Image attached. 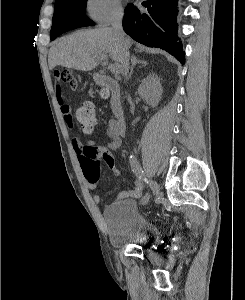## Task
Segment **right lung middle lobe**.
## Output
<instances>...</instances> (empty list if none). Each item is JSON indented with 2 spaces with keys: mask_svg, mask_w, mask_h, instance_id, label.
I'll return each instance as SVG.
<instances>
[{
  "mask_svg": "<svg viewBox=\"0 0 245 300\" xmlns=\"http://www.w3.org/2000/svg\"><path fill=\"white\" fill-rule=\"evenodd\" d=\"M87 0H57L55 2L53 25L50 32L51 40L58 36L57 24L60 21H76L83 26H93L94 23L85 15Z\"/></svg>",
  "mask_w": 245,
  "mask_h": 300,
  "instance_id": "right-lung-middle-lobe-1",
  "label": "right lung middle lobe"
}]
</instances>
